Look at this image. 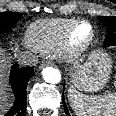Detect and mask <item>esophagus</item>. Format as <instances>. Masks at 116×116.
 <instances>
[{"label":"esophagus","mask_w":116,"mask_h":116,"mask_svg":"<svg viewBox=\"0 0 116 116\" xmlns=\"http://www.w3.org/2000/svg\"><path fill=\"white\" fill-rule=\"evenodd\" d=\"M48 65H53V63L51 61H44L40 64L39 68L42 69V68H44L45 66H48Z\"/></svg>","instance_id":"1"}]
</instances>
